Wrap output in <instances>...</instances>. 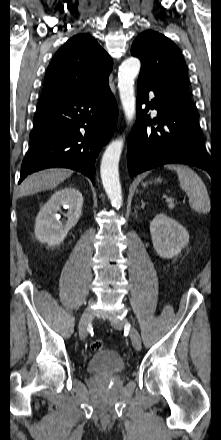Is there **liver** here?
<instances>
[{
  "label": "liver",
  "instance_id": "6515ba94",
  "mask_svg": "<svg viewBox=\"0 0 221 440\" xmlns=\"http://www.w3.org/2000/svg\"><path fill=\"white\" fill-rule=\"evenodd\" d=\"M72 173V170L63 168L47 169L34 173L21 183L19 195L27 196L43 190L53 189L70 177Z\"/></svg>",
  "mask_w": 221,
  "mask_h": 440
}]
</instances>
